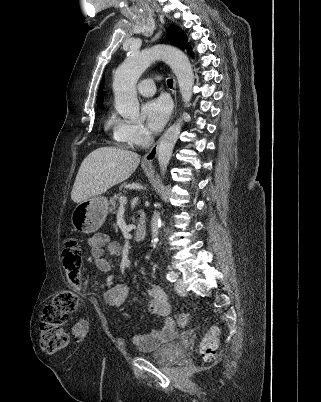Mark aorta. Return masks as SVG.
<instances>
[{
    "mask_svg": "<svg viewBox=\"0 0 321 402\" xmlns=\"http://www.w3.org/2000/svg\"><path fill=\"white\" fill-rule=\"evenodd\" d=\"M164 60L176 75L180 93L185 105L189 104L194 85V74L190 61L181 50L168 46L156 45L142 52L131 50L114 75L113 90L115 108L123 117L130 120L140 118L136 84L142 73L155 61ZM182 120L170 126L158 145V163L162 175L165 174L172 156L173 148L179 138ZM157 207V204L154 205ZM161 226L160 214L154 211L151 221V244L156 246Z\"/></svg>",
    "mask_w": 321,
    "mask_h": 402,
    "instance_id": "aorta-1",
    "label": "aorta"
}]
</instances>
